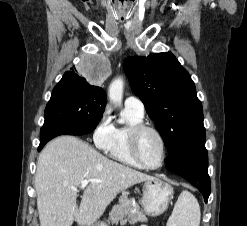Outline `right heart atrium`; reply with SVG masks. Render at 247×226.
<instances>
[{
	"mask_svg": "<svg viewBox=\"0 0 247 226\" xmlns=\"http://www.w3.org/2000/svg\"><path fill=\"white\" fill-rule=\"evenodd\" d=\"M111 134H112V125L108 118V111L106 110L103 113L100 122L98 123V125L96 126L93 132V141L95 145L99 149L104 150L110 142Z\"/></svg>",
	"mask_w": 247,
	"mask_h": 226,
	"instance_id": "right-heart-atrium-1",
	"label": "right heart atrium"
}]
</instances>
